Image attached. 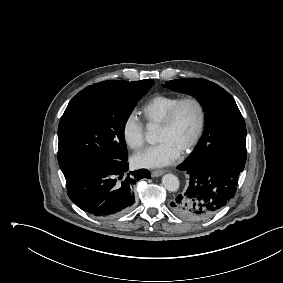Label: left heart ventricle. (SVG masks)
Returning a JSON list of instances; mask_svg holds the SVG:
<instances>
[{"label":"left heart ventricle","mask_w":283,"mask_h":283,"mask_svg":"<svg viewBox=\"0 0 283 283\" xmlns=\"http://www.w3.org/2000/svg\"><path fill=\"white\" fill-rule=\"evenodd\" d=\"M198 124V110L193 103L185 104L170 129L160 128L158 141H168L181 151L192 139Z\"/></svg>","instance_id":"left-heart-ventricle-1"}]
</instances>
